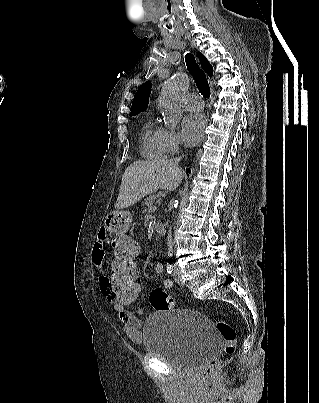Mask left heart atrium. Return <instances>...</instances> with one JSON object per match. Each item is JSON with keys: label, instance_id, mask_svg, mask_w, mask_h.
<instances>
[{"label": "left heart atrium", "instance_id": "obj_1", "mask_svg": "<svg viewBox=\"0 0 319 403\" xmlns=\"http://www.w3.org/2000/svg\"><path fill=\"white\" fill-rule=\"evenodd\" d=\"M206 129V119L202 114L190 113L186 115L181 124L182 137L189 145L197 144L203 137Z\"/></svg>", "mask_w": 319, "mask_h": 403}]
</instances>
